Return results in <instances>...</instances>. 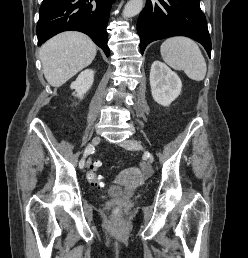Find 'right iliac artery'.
Returning a JSON list of instances; mask_svg holds the SVG:
<instances>
[{
  "label": "right iliac artery",
  "mask_w": 248,
  "mask_h": 258,
  "mask_svg": "<svg viewBox=\"0 0 248 258\" xmlns=\"http://www.w3.org/2000/svg\"><path fill=\"white\" fill-rule=\"evenodd\" d=\"M93 150H94V147H93L92 145H90V144L86 147V149L84 150L83 158H82V159L80 160V162H79V167H80V168H83V167H84L86 156H88L89 154H91V153L93 152Z\"/></svg>",
  "instance_id": "82829eb1"
}]
</instances>
